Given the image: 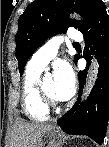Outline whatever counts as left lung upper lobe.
<instances>
[{
    "mask_svg": "<svg viewBox=\"0 0 109 147\" xmlns=\"http://www.w3.org/2000/svg\"><path fill=\"white\" fill-rule=\"evenodd\" d=\"M102 3L101 0H35L18 20L16 34V58L19 72L46 38L64 33L68 27L82 28ZM80 13L85 20H71L68 14ZM77 56L75 57L76 62Z\"/></svg>",
    "mask_w": 109,
    "mask_h": 147,
    "instance_id": "left-lung-upper-lobe-1",
    "label": "left lung upper lobe"
}]
</instances>
